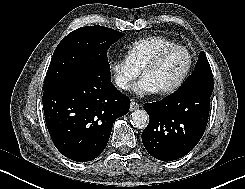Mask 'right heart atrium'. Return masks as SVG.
Here are the masks:
<instances>
[{
    "label": "right heart atrium",
    "instance_id": "d8ad5b80",
    "mask_svg": "<svg viewBox=\"0 0 245 189\" xmlns=\"http://www.w3.org/2000/svg\"><path fill=\"white\" fill-rule=\"evenodd\" d=\"M108 69L114 85L122 91L130 89L139 72L126 57L109 60Z\"/></svg>",
    "mask_w": 245,
    "mask_h": 189
}]
</instances>
